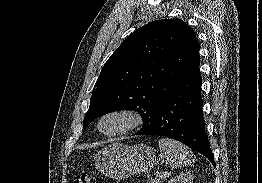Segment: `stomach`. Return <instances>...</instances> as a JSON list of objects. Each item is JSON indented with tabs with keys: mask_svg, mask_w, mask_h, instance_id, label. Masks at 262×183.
<instances>
[{
	"mask_svg": "<svg viewBox=\"0 0 262 183\" xmlns=\"http://www.w3.org/2000/svg\"><path fill=\"white\" fill-rule=\"evenodd\" d=\"M94 161L103 175L124 179L152 169L156 164V156L153 149L145 144L127 146L113 143L99 151Z\"/></svg>",
	"mask_w": 262,
	"mask_h": 183,
	"instance_id": "1",
	"label": "stomach"
}]
</instances>
